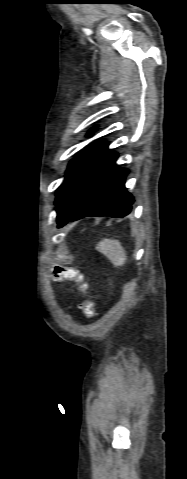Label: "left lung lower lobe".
Masks as SVG:
<instances>
[{
  "mask_svg": "<svg viewBox=\"0 0 187 479\" xmlns=\"http://www.w3.org/2000/svg\"><path fill=\"white\" fill-rule=\"evenodd\" d=\"M117 153L106 151L76 179L58 205V227L88 216L122 218L132 209L133 196L125 188L128 171L117 168Z\"/></svg>",
  "mask_w": 187,
  "mask_h": 479,
  "instance_id": "0a47b994",
  "label": "left lung lower lobe"
}]
</instances>
